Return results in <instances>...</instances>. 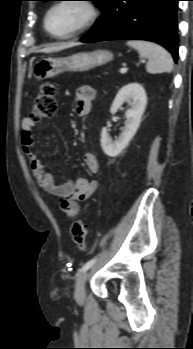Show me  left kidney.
I'll return each instance as SVG.
<instances>
[{
  "label": "left kidney",
  "mask_w": 193,
  "mask_h": 349,
  "mask_svg": "<svg viewBox=\"0 0 193 349\" xmlns=\"http://www.w3.org/2000/svg\"><path fill=\"white\" fill-rule=\"evenodd\" d=\"M127 102L130 109L126 113L125 127L119 138L115 141L109 136L106 127L101 132V147L104 153L110 157L118 156L129 144L139 128L141 117L147 104V96L142 85L137 82L123 86L117 93L110 112L116 113L123 103Z\"/></svg>",
  "instance_id": "left-kidney-1"
}]
</instances>
